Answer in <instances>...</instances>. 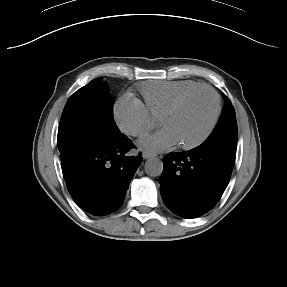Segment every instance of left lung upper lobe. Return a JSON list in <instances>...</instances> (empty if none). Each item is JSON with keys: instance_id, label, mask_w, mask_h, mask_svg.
Returning a JSON list of instances; mask_svg holds the SVG:
<instances>
[{"instance_id": "1", "label": "left lung upper lobe", "mask_w": 287, "mask_h": 287, "mask_svg": "<svg viewBox=\"0 0 287 287\" xmlns=\"http://www.w3.org/2000/svg\"><path fill=\"white\" fill-rule=\"evenodd\" d=\"M237 137L235 110L229 98L225 97V108L218 124L208 139L199 147L211 152L232 169L236 155Z\"/></svg>"}]
</instances>
